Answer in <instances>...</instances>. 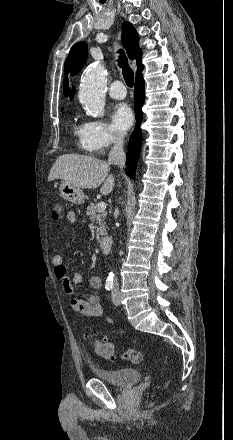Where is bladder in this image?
Returning a JSON list of instances; mask_svg holds the SVG:
<instances>
[{
	"label": "bladder",
	"instance_id": "obj_1",
	"mask_svg": "<svg viewBox=\"0 0 233 440\" xmlns=\"http://www.w3.org/2000/svg\"><path fill=\"white\" fill-rule=\"evenodd\" d=\"M93 375L107 384L116 387L135 385L140 380V372L135 368H120L115 370L92 366Z\"/></svg>",
	"mask_w": 233,
	"mask_h": 440
}]
</instances>
